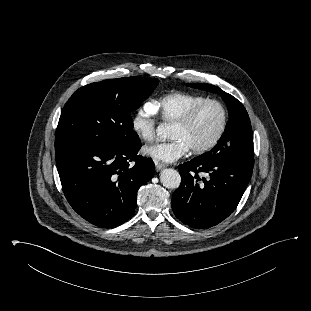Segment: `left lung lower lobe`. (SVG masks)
Listing matches in <instances>:
<instances>
[{
    "label": "left lung lower lobe",
    "mask_w": 311,
    "mask_h": 311,
    "mask_svg": "<svg viewBox=\"0 0 311 311\" xmlns=\"http://www.w3.org/2000/svg\"><path fill=\"white\" fill-rule=\"evenodd\" d=\"M254 158L232 155L198 156L178 166L181 185L173 193L172 209L184 224L197 229L212 227L237 207L251 179ZM200 175L206 174L207 178Z\"/></svg>",
    "instance_id": "left-lung-lower-lobe-1"
}]
</instances>
